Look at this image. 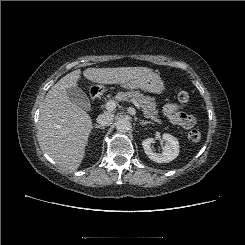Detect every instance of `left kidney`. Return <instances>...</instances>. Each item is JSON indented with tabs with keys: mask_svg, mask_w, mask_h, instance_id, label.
<instances>
[{
	"mask_svg": "<svg viewBox=\"0 0 245 245\" xmlns=\"http://www.w3.org/2000/svg\"><path fill=\"white\" fill-rule=\"evenodd\" d=\"M162 139L165 141L162 153H156L152 150L151 144L155 143L154 138H147L142 141L145 154L157 163L170 162L179 154V142L177 138L170 134H163Z\"/></svg>",
	"mask_w": 245,
	"mask_h": 245,
	"instance_id": "obj_1",
	"label": "left kidney"
}]
</instances>
